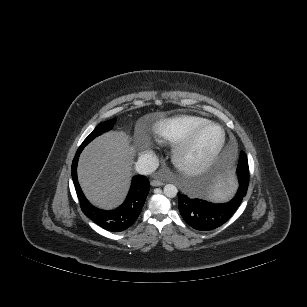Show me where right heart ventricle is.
Masks as SVG:
<instances>
[{"mask_svg": "<svg viewBox=\"0 0 307 307\" xmlns=\"http://www.w3.org/2000/svg\"><path fill=\"white\" fill-rule=\"evenodd\" d=\"M208 122V119L194 115L168 118L160 121L155 126L153 135L158 142L177 144L196 128Z\"/></svg>", "mask_w": 307, "mask_h": 307, "instance_id": "e07e8e85", "label": "right heart ventricle"}]
</instances>
